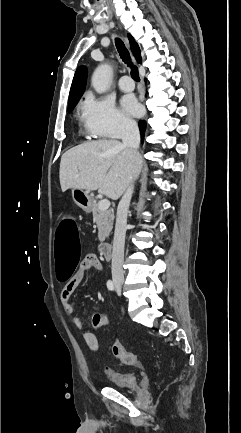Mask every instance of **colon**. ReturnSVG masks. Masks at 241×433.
Masks as SVG:
<instances>
[{"label": "colon", "mask_w": 241, "mask_h": 433, "mask_svg": "<svg viewBox=\"0 0 241 433\" xmlns=\"http://www.w3.org/2000/svg\"><path fill=\"white\" fill-rule=\"evenodd\" d=\"M76 220H59L58 225L53 226L52 247L55 260V270L60 281H66L71 276L77 261H79V232ZM102 315L95 312L92 315L91 324L95 330L101 327ZM113 355L122 363L138 365V356L128 352L124 346L115 342L112 346Z\"/></svg>", "instance_id": "colon-1"}]
</instances>
